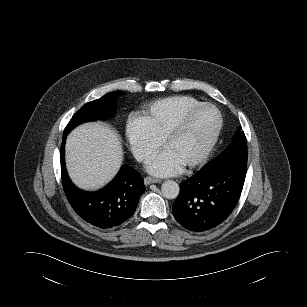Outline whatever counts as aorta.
I'll return each instance as SVG.
<instances>
[{
  "mask_svg": "<svg viewBox=\"0 0 307 307\" xmlns=\"http://www.w3.org/2000/svg\"><path fill=\"white\" fill-rule=\"evenodd\" d=\"M162 194L167 199H175L179 195V185L173 180L165 181L161 186Z\"/></svg>",
  "mask_w": 307,
  "mask_h": 307,
  "instance_id": "aorta-1",
  "label": "aorta"
}]
</instances>
